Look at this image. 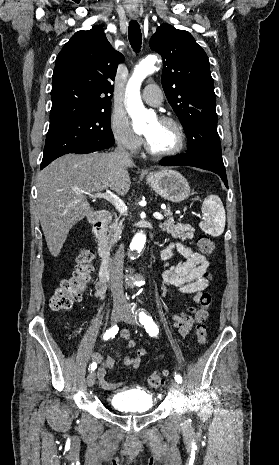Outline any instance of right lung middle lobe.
I'll list each match as a JSON object with an SVG mask.
<instances>
[{
    "instance_id": "right-lung-middle-lobe-1",
    "label": "right lung middle lobe",
    "mask_w": 279,
    "mask_h": 465,
    "mask_svg": "<svg viewBox=\"0 0 279 465\" xmlns=\"http://www.w3.org/2000/svg\"><path fill=\"white\" fill-rule=\"evenodd\" d=\"M110 125V107L50 124L41 164L88 145L111 147L114 139Z\"/></svg>"
}]
</instances>
